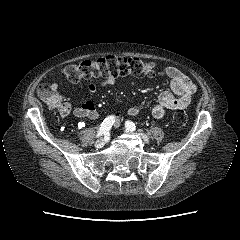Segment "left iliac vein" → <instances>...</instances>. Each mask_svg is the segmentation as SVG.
<instances>
[{
	"label": "left iliac vein",
	"instance_id": "obj_1",
	"mask_svg": "<svg viewBox=\"0 0 240 240\" xmlns=\"http://www.w3.org/2000/svg\"><path fill=\"white\" fill-rule=\"evenodd\" d=\"M126 132H127V133H134L133 131H127V130H126ZM138 136H139V138L142 139V141H143L144 143H149V139L147 138L146 135L139 133Z\"/></svg>",
	"mask_w": 240,
	"mask_h": 240
}]
</instances>
